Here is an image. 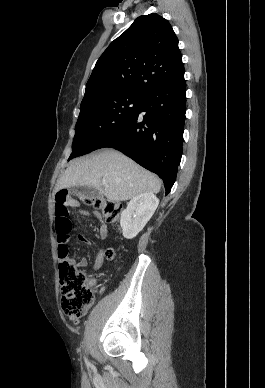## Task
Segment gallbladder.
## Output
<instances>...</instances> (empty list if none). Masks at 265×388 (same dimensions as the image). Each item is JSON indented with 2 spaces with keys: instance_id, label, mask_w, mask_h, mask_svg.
<instances>
[{
  "instance_id": "gallbladder-1",
  "label": "gallbladder",
  "mask_w": 265,
  "mask_h": 388,
  "mask_svg": "<svg viewBox=\"0 0 265 388\" xmlns=\"http://www.w3.org/2000/svg\"><path fill=\"white\" fill-rule=\"evenodd\" d=\"M70 194L73 196H83V198H95L96 190L94 188H86V186H74V188H70Z\"/></svg>"
}]
</instances>
